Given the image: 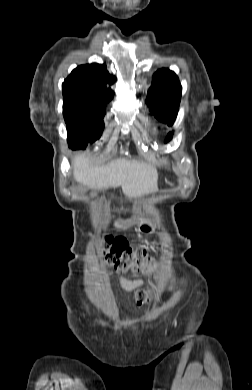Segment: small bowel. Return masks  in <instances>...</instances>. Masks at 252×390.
Masks as SVG:
<instances>
[{"mask_svg":"<svg viewBox=\"0 0 252 390\" xmlns=\"http://www.w3.org/2000/svg\"><path fill=\"white\" fill-rule=\"evenodd\" d=\"M119 284L125 291H133L143 285V279L139 275L121 276Z\"/></svg>","mask_w":252,"mask_h":390,"instance_id":"c3829d8e","label":"small bowel"}]
</instances>
